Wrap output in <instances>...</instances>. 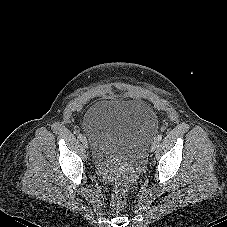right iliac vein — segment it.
<instances>
[{"label":"right iliac vein","mask_w":227,"mask_h":227,"mask_svg":"<svg viewBox=\"0 0 227 227\" xmlns=\"http://www.w3.org/2000/svg\"><path fill=\"white\" fill-rule=\"evenodd\" d=\"M81 141H82V145L84 146V148H88V141H87V139L84 137Z\"/></svg>","instance_id":"obj_1"}]
</instances>
